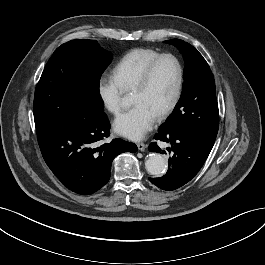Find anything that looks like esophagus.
<instances>
[{
	"label": "esophagus",
	"instance_id": "1",
	"mask_svg": "<svg viewBox=\"0 0 265 265\" xmlns=\"http://www.w3.org/2000/svg\"><path fill=\"white\" fill-rule=\"evenodd\" d=\"M137 148L140 151H144L146 148V145L144 143L140 142V143H137Z\"/></svg>",
	"mask_w": 265,
	"mask_h": 265
}]
</instances>
